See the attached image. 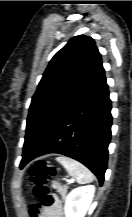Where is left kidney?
<instances>
[{
	"label": "left kidney",
	"instance_id": "obj_1",
	"mask_svg": "<svg viewBox=\"0 0 132 217\" xmlns=\"http://www.w3.org/2000/svg\"><path fill=\"white\" fill-rule=\"evenodd\" d=\"M95 187L81 186L73 189L65 202L66 217H84L94 197Z\"/></svg>",
	"mask_w": 132,
	"mask_h": 217
}]
</instances>
